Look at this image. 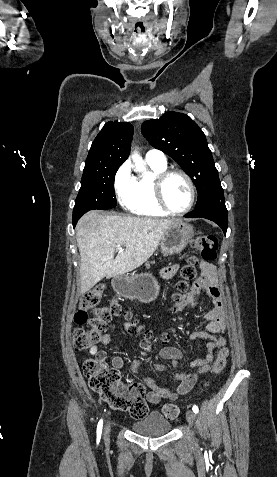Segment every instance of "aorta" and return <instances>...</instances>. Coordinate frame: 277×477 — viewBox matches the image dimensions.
I'll use <instances>...</instances> for the list:
<instances>
[{
    "label": "aorta",
    "mask_w": 277,
    "mask_h": 477,
    "mask_svg": "<svg viewBox=\"0 0 277 477\" xmlns=\"http://www.w3.org/2000/svg\"><path fill=\"white\" fill-rule=\"evenodd\" d=\"M132 158H133L134 161H135V167H136V169L141 170V171L146 170L145 166L142 165L140 156L138 155L137 152H134V154L132 155Z\"/></svg>",
    "instance_id": "762f6f07"
}]
</instances>
